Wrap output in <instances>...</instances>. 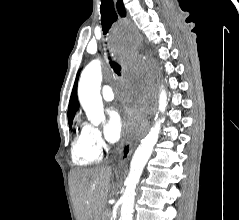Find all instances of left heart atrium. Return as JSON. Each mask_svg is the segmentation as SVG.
<instances>
[{"mask_svg":"<svg viewBox=\"0 0 239 220\" xmlns=\"http://www.w3.org/2000/svg\"><path fill=\"white\" fill-rule=\"evenodd\" d=\"M119 102L123 108V113L127 117V120L124 121L121 115L118 112V108H113L109 112V118L104 129V134L106 139L109 142H116L120 139L125 126L128 124L135 125L139 121L136 119L132 109L130 108V100L126 94H121L119 96Z\"/></svg>","mask_w":239,"mask_h":220,"instance_id":"left-heart-atrium-1","label":"left heart atrium"}]
</instances>
